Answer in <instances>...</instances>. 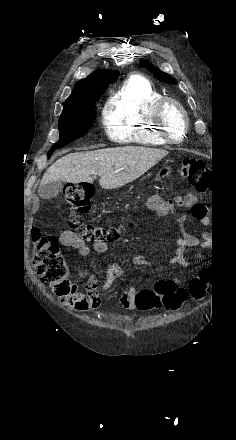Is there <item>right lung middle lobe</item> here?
<instances>
[{
    "label": "right lung middle lobe",
    "instance_id": "dd1d6c3e",
    "mask_svg": "<svg viewBox=\"0 0 236 440\" xmlns=\"http://www.w3.org/2000/svg\"><path fill=\"white\" fill-rule=\"evenodd\" d=\"M100 95L101 93L64 103V109L58 123L59 141L52 146L51 150L69 144L92 127L95 103Z\"/></svg>",
    "mask_w": 236,
    "mask_h": 440
}]
</instances>
